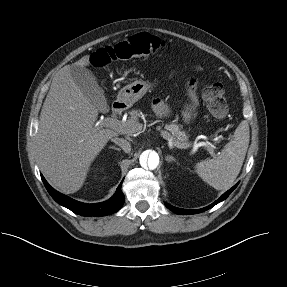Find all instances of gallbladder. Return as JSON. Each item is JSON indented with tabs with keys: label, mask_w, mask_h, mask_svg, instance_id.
<instances>
[{
	"label": "gallbladder",
	"mask_w": 287,
	"mask_h": 287,
	"mask_svg": "<svg viewBox=\"0 0 287 287\" xmlns=\"http://www.w3.org/2000/svg\"><path fill=\"white\" fill-rule=\"evenodd\" d=\"M70 74L83 95L88 98L92 104L101 111L108 109L104 92L90 70L82 66L71 65Z\"/></svg>",
	"instance_id": "bac80fb5"
}]
</instances>
